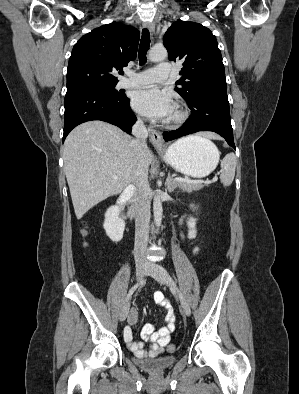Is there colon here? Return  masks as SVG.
<instances>
[{"label": "colon", "instance_id": "obj_1", "mask_svg": "<svg viewBox=\"0 0 299 394\" xmlns=\"http://www.w3.org/2000/svg\"><path fill=\"white\" fill-rule=\"evenodd\" d=\"M175 349V347L173 345L169 346V350L173 351Z\"/></svg>", "mask_w": 299, "mask_h": 394}]
</instances>
